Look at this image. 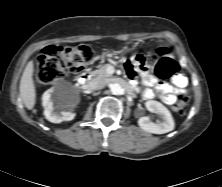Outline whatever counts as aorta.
Returning <instances> with one entry per match:
<instances>
[{"label":"aorta","instance_id":"762f6f07","mask_svg":"<svg viewBox=\"0 0 222 187\" xmlns=\"http://www.w3.org/2000/svg\"><path fill=\"white\" fill-rule=\"evenodd\" d=\"M110 91L114 95H119L122 92V87L120 84L114 83L110 86Z\"/></svg>","mask_w":222,"mask_h":187}]
</instances>
